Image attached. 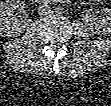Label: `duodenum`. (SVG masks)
<instances>
[{"instance_id":"1","label":"duodenum","mask_w":111,"mask_h":106,"mask_svg":"<svg viewBox=\"0 0 111 106\" xmlns=\"http://www.w3.org/2000/svg\"><path fill=\"white\" fill-rule=\"evenodd\" d=\"M55 2H61L62 3V2H65V0H57Z\"/></svg>"}]
</instances>
